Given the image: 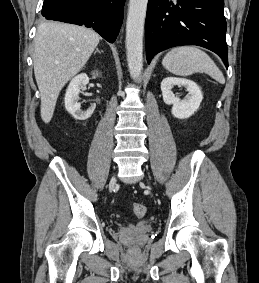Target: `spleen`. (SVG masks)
<instances>
[{"label":"spleen","instance_id":"spleen-1","mask_svg":"<svg viewBox=\"0 0 259 283\" xmlns=\"http://www.w3.org/2000/svg\"><path fill=\"white\" fill-rule=\"evenodd\" d=\"M162 65L178 76L206 73L219 83H225V78L214 61L197 47L181 46L172 49L163 58Z\"/></svg>","mask_w":259,"mask_h":283}]
</instances>
